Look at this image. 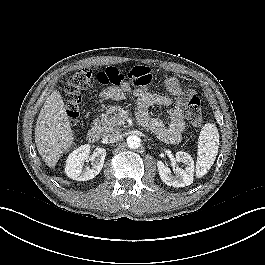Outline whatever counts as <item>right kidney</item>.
<instances>
[{"mask_svg": "<svg viewBox=\"0 0 265 265\" xmlns=\"http://www.w3.org/2000/svg\"><path fill=\"white\" fill-rule=\"evenodd\" d=\"M90 153V145L85 144L75 149L69 154L66 160V175L77 181H87L98 175L103 167L106 157L104 148H97L92 155ZM90 160L92 168H83V163Z\"/></svg>", "mask_w": 265, "mask_h": 265, "instance_id": "ca27d5eb", "label": "right kidney"}]
</instances>
